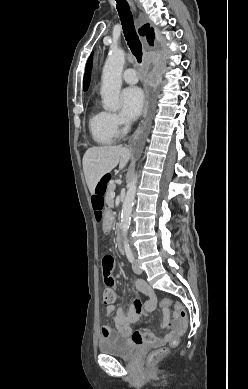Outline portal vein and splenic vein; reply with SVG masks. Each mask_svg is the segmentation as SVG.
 <instances>
[{"label":"portal vein and splenic vein","instance_id":"1","mask_svg":"<svg viewBox=\"0 0 248 389\" xmlns=\"http://www.w3.org/2000/svg\"><path fill=\"white\" fill-rule=\"evenodd\" d=\"M115 197V193L113 192L112 194H111V198L113 199Z\"/></svg>","mask_w":248,"mask_h":389}]
</instances>
